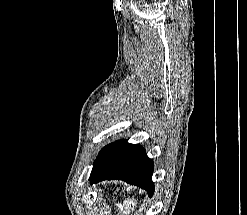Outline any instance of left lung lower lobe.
<instances>
[{
  "mask_svg": "<svg viewBox=\"0 0 247 215\" xmlns=\"http://www.w3.org/2000/svg\"><path fill=\"white\" fill-rule=\"evenodd\" d=\"M153 161L140 145L119 140L105 146L98 154L90 175V182L120 179L147 190L152 196Z\"/></svg>",
  "mask_w": 247,
  "mask_h": 215,
  "instance_id": "obj_1",
  "label": "left lung lower lobe"
}]
</instances>
